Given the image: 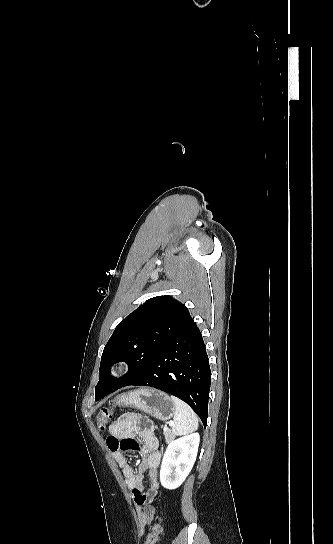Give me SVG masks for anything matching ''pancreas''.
Listing matches in <instances>:
<instances>
[{
	"label": "pancreas",
	"mask_w": 333,
	"mask_h": 544,
	"mask_svg": "<svg viewBox=\"0 0 333 544\" xmlns=\"http://www.w3.org/2000/svg\"><path fill=\"white\" fill-rule=\"evenodd\" d=\"M165 440L168 442L173 438V435L170 430L164 431Z\"/></svg>",
	"instance_id": "1"
}]
</instances>
